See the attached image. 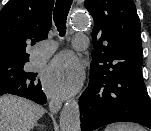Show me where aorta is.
Masks as SVG:
<instances>
[{"mask_svg":"<svg viewBox=\"0 0 151 131\" xmlns=\"http://www.w3.org/2000/svg\"><path fill=\"white\" fill-rule=\"evenodd\" d=\"M72 26L83 29L88 26V18L85 15H75L71 22ZM61 131H80L79 104L76 100H68L60 112Z\"/></svg>","mask_w":151,"mask_h":131,"instance_id":"aorta-1","label":"aorta"}]
</instances>
